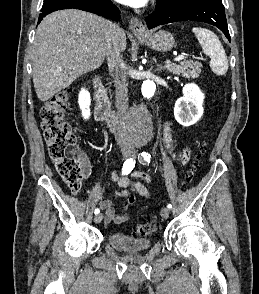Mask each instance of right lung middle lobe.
<instances>
[{
  "mask_svg": "<svg viewBox=\"0 0 259 294\" xmlns=\"http://www.w3.org/2000/svg\"><path fill=\"white\" fill-rule=\"evenodd\" d=\"M55 1H57V0H44L43 7L42 8H45V7L49 6V5H51Z\"/></svg>",
  "mask_w": 259,
  "mask_h": 294,
  "instance_id": "obj_1",
  "label": "right lung middle lobe"
}]
</instances>
